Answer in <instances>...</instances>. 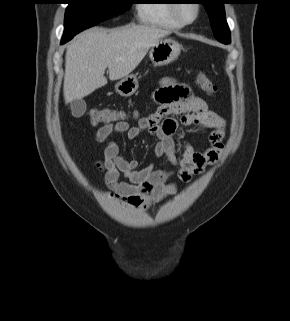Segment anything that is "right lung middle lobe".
I'll list each match as a JSON object with an SVG mask.
<instances>
[{
	"mask_svg": "<svg viewBox=\"0 0 290 321\" xmlns=\"http://www.w3.org/2000/svg\"><path fill=\"white\" fill-rule=\"evenodd\" d=\"M62 41L77 33L119 15L131 7V0H67Z\"/></svg>",
	"mask_w": 290,
	"mask_h": 321,
	"instance_id": "obj_1",
	"label": "right lung middle lobe"
}]
</instances>
